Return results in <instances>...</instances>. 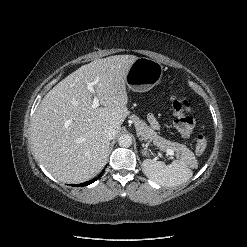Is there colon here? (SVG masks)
<instances>
[{"label":"colon","mask_w":247,"mask_h":247,"mask_svg":"<svg viewBox=\"0 0 247 247\" xmlns=\"http://www.w3.org/2000/svg\"><path fill=\"white\" fill-rule=\"evenodd\" d=\"M172 108L174 112V126L178 133L183 137H189L195 126V121L190 115V101L186 98L173 97ZM208 145L207 138L203 134L195 137L194 147L197 154H202Z\"/></svg>","instance_id":"1"}]
</instances>
